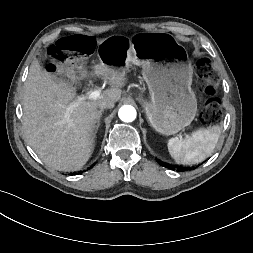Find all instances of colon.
I'll return each instance as SVG.
<instances>
[{
  "instance_id": "obj_1",
  "label": "colon",
  "mask_w": 253,
  "mask_h": 253,
  "mask_svg": "<svg viewBox=\"0 0 253 253\" xmlns=\"http://www.w3.org/2000/svg\"><path fill=\"white\" fill-rule=\"evenodd\" d=\"M93 50L94 40L92 37L74 35L59 40L55 46L54 55L57 64L62 67H79ZM52 66L56 68L55 65ZM196 68L200 85L207 96L201 117L206 123H216L222 116V107L216 96L219 77L211 71L209 60L205 58L197 61Z\"/></svg>"
}]
</instances>
